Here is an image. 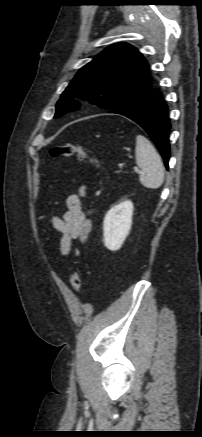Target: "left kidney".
<instances>
[{"mask_svg": "<svg viewBox=\"0 0 202 437\" xmlns=\"http://www.w3.org/2000/svg\"><path fill=\"white\" fill-rule=\"evenodd\" d=\"M133 203L123 201L112 207L103 222V236L105 246L111 250H119L129 234L132 226Z\"/></svg>", "mask_w": 202, "mask_h": 437, "instance_id": "obj_1", "label": "left kidney"}]
</instances>
